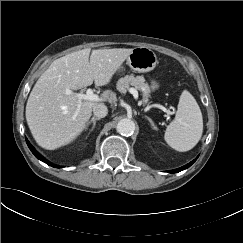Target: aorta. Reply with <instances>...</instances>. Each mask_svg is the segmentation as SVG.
Listing matches in <instances>:
<instances>
[{
  "instance_id": "1",
  "label": "aorta",
  "mask_w": 243,
  "mask_h": 243,
  "mask_svg": "<svg viewBox=\"0 0 243 243\" xmlns=\"http://www.w3.org/2000/svg\"><path fill=\"white\" fill-rule=\"evenodd\" d=\"M116 129L119 134L130 136L135 131V123L129 118H123L118 122Z\"/></svg>"
}]
</instances>
